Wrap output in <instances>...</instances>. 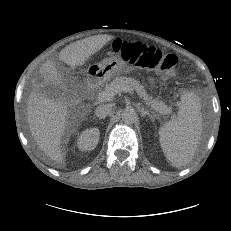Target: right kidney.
<instances>
[{"label": "right kidney", "mask_w": 231, "mask_h": 231, "mask_svg": "<svg viewBox=\"0 0 231 231\" xmlns=\"http://www.w3.org/2000/svg\"><path fill=\"white\" fill-rule=\"evenodd\" d=\"M100 137V131L97 127L84 130L78 136L77 146L81 151H90L96 148Z\"/></svg>", "instance_id": "ca27d5eb"}]
</instances>
